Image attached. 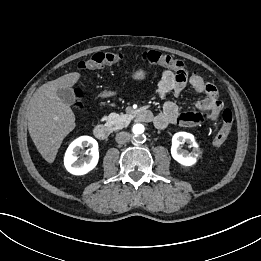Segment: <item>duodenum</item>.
Instances as JSON below:
<instances>
[{
	"mask_svg": "<svg viewBox=\"0 0 261 261\" xmlns=\"http://www.w3.org/2000/svg\"><path fill=\"white\" fill-rule=\"evenodd\" d=\"M135 119L138 122H150L153 120V115L149 110L142 109L136 112ZM93 133L96 138L105 140L110 135V128L105 123H97L94 126Z\"/></svg>",
	"mask_w": 261,
	"mask_h": 261,
	"instance_id": "obj_1",
	"label": "duodenum"
}]
</instances>
